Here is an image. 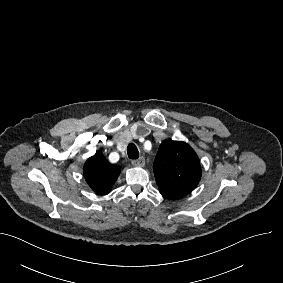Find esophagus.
I'll list each match as a JSON object with an SVG mask.
<instances>
[{"label": "esophagus", "instance_id": "34e87169", "mask_svg": "<svg viewBox=\"0 0 283 283\" xmlns=\"http://www.w3.org/2000/svg\"><path fill=\"white\" fill-rule=\"evenodd\" d=\"M145 158L144 157H140L138 159H135L132 161V165L134 167H143L145 165Z\"/></svg>", "mask_w": 283, "mask_h": 283}]
</instances>
